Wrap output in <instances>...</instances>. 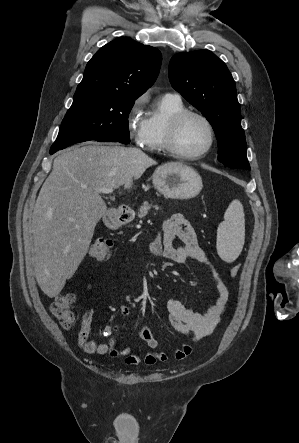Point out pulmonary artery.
I'll return each instance as SVG.
<instances>
[{
  "label": "pulmonary artery",
  "instance_id": "pulmonary-artery-1",
  "mask_svg": "<svg viewBox=\"0 0 299 443\" xmlns=\"http://www.w3.org/2000/svg\"><path fill=\"white\" fill-rule=\"evenodd\" d=\"M166 95H169V96L177 98V99H181V96L178 93H168Z\"/></svg>",
  "mask_w": 299,
  "mask_h": 443
}]
</instances>
